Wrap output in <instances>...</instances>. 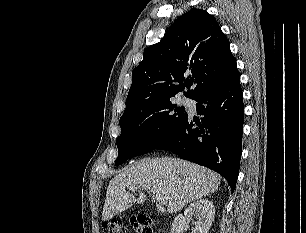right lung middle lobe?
I'll list each match as a JSON object with an SVG mask.
<instances>
[{
  "instance_id": "1",
  "label": "right lung middle lobe",
  "mask_w": 306,
  "mask_h": 233,
  "mask_svg": "<svg viewBox=\"0 0 306 233\" xmlns=\"http://www.w3.org/2000/svg\"><path fill=\"white\" fill-rule=\"evenodd\" d=\"M188 114L171 100H163L120 118L121 135L117 138L116 165L128 158L147 153L173 135Z\"/></svg>"
}]
</instances>
